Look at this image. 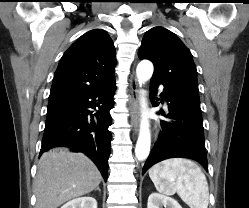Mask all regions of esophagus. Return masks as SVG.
Segmentation results:
<instances>
[{
	"instance_id": "1",
	"label": "esophagus",
	"mask_w": 249,
	"mask_h": 208,
	"mask_svg": "<svg viewBox=\"0 0 249 208\" xmlns=\"http://www.w3.org/2000/svg\"><path fill=\"white\" fill-rule=\"evenodd\" d=\"M130 89L132 94V98L129 104L130 113H131V124L134 130L137 131L139 126V101H138L139 84L134 74L130 78Z\"/></svg>"
}]
</instances>
